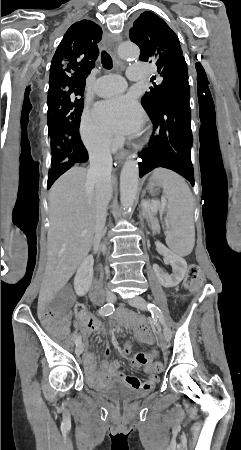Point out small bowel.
I'll use <instances>...</instances> for the list:
<instances>
[{"label":"small bowel","mask_w":241,"mask_h":450,"mask_svg":"<svg viewBox=\"0 0 241 450\" xmlns=\"http://www.w3.org/2000/svg\"><path fill=\"white\" fill-rule=\"evenodd\" d=\"M39 305L41 308L40 310H36L35 312L36 319H56V310H50V304L48 301L43 300ZM65 316L67 318H72L74 316V313L72 311H67L65 313ZM43 325L45 328L50 329L49 333L51 335H54L55 333L57 335H64L66 333L65 329L70 328L71 323L68 320L58 321L56 323V326L58 327L56 330L53 328L54 323L51 320L45 321ZM76 326L77 328H81L82 332L85 335H88L92 332H105V329L101 322L89 316L86 319H77ZM127 326L132 330L139 342L151 346V349L148 353L140 352L131 358V362L133 365L138 367L142 366L144 368V373L147 375V378L145 380H142L136 376L120 372V363L117 360H103L100 370L97 371L94 365L93 357L90 353H86L84 355L87 372L91 376L94 384L99 387L111 384H121L123 386H127L145 393L150 392L154 389L155 385L159 381V378L152 365V362L158 357L159 354V348L154 333L152 331H149V326L147 324H140L138 326V330L135 329L132 324H127ZM130 352L131 344L129 342H125L122 347L121 353L123 355H128ZM105 355L106 357L109 355L108 349H106Z\"/></svg>","instance_id":"obj_1"}]
</instances>
